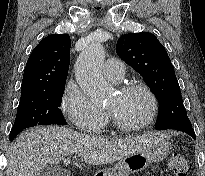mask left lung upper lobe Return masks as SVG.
<instances>
[{
  "label": "left lung upper lobe",
  "instance_id": "5c2ea615",
  "mask_svg": "<svg viewBox=\"0 0 205 176\" xmlns=\"http://www.w3.org/2000/svg\"><path fill=\"white\" fill-rule=\"evenodd\" d=\"M116 52L147 82L159 100L157 130L191 126L180 87L165 47L148 32L122 35Z\"/></svg>",
  "mask_w": 205,
  "mask_h": 176
}]
</instances>
